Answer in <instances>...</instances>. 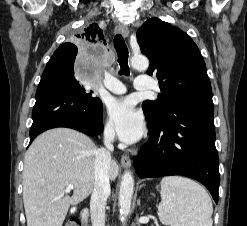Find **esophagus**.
<instances>
[{"label": "esophagus", "mask_w": 247, "mask_h": 226, "mask_svg": "<svg viewBox=\"0 0 247 226\" xmlns=\"http://www.w3.org/2000/svg\"><path fill=\"white\" fill-rule=\"evenodd\" d=\"M115 33L121 34L124 37H128V35H129V29H128V27L126 25L119 24L115 28ZM121 164L125 168L130 167L131 166V159L129 158V156H127L125 154L122 155V157H121Z\"/></svg>", "instance_id": "1"}]
</instances>
